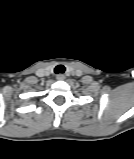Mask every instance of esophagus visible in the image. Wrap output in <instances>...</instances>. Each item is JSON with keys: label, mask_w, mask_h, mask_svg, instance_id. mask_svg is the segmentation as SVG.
<instances>
[{"label": "esophagus", "mask_w": 134, "mask_h": 159, "mask_svg": "<svg viewBox=\"0 0 134 159\" xmlns=\"http://www.w3.org/2000/svg\"><path fill=\"white\" fill-rule=\"evenodd\" d=\"M56 79H57V80H64V79H65V75H64V74H58V75L56 76Z\"/></svg>", "instance_id": "esophagus-1"}]
</instances>
